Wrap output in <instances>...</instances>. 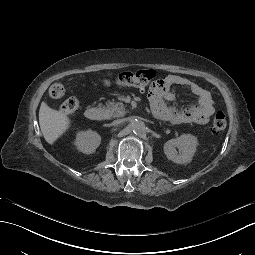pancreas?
<instances>
[{
	"mask_svg": "<svg viewBox=\"0 0 255 255\" xmlns=\"http://www.w3.org/2000/svg\"><path fill=\"white\" fill-rule=\"evenodd\" d=\"M105 111L110 117L114 118L123 117L125 115V107L121 102L107 103Z\"/></svg>",
	"mask_w": 255,
	"mask_h": 255,
	"instance_id": "pancreas-1",
	"label": "pancreas"
}]
</instances>
